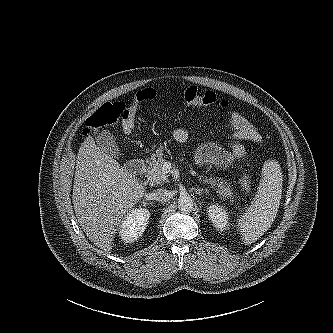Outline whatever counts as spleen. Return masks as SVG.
<instances>
[{
    "label": "spleen",
    "instance_id": "1",
    "mask_svg": "<svg viewBox=\"0 0 333 333\" xmlns=\"http://www.w3.org/2000/svg\"><path fill=\"white\" fill-rule=\"evenodd\" d=\"M282 172L276 160L265 161L257 193L247 211L238 219L243 243L257 241L272 225L282 196Z\"/></svg>",
    "mask_w": 333,
    "mask_h": 333
}]
</instances>
